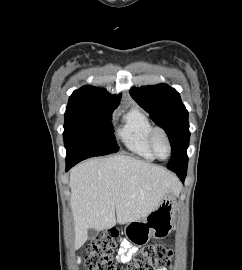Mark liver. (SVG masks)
<instances>
[{
    "instance_id": "obj_1",
    "label": "liver",
    "mask_w": 242,
    "mask_h": 270,
    "mask_svg": "<svg viewBox=\"0 0 242 270\" xmlns=\"http://www.w3.org/2000/svg\"><path fill=\"white\" fill-rule=\"evenodd\" d=\"M69 186L77 247L88 239L89 229L102 231L144 218L166 194L181 188L166 169L126 155L78 164Z\"/></svg>"
}]
</instances>
